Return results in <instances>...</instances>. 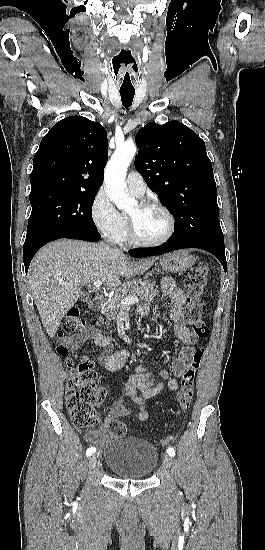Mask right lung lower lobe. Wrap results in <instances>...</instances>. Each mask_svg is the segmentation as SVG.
Segmentation results:
<instances>
[{"label": "right lung lower lobe", "mask_w": 265, "mask_h": 550, "mask_svg": "<svg viewBox=\"0 0 265 550\" xmlns=\"http://www.w3.org/2000/svg\"><path fill=\"white\" fill-rule=\"evenodd\" d=\"M60 238H69V239H79V240H85V241H91L95 242L98 241L101 236L98 232H87V231H79V230H64L55 233L51 237L41 240L34 245L28 247L27 249H23V258H24V265H25V271L27 273L30 262L35 255V253L45 244H47L50 241L60 239Z\"/></svg>", "instance_id": "obj_1"}]
</instances>
